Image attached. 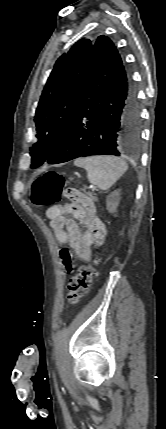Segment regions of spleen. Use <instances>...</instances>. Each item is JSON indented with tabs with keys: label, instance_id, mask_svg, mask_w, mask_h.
I'll use <instances>...</instances> for the list:
<instances>
[{
	"label": "spleen",
	"instance_id": "1",
	"mask_svg": "<svg viewBox=\"0 0 166 429\" xmlns=\"http://www.w3.org/2000/svg\"><path fill=\"white\" fill-rule=\"evenodd\" d=\"M74 165L84 168L88 181L102 190L109 189L128 169L124 160L114 156L79 158Z\"/></svg>",
	"mask_w": 166,
	"mask_h": 429
}]
</instances>
